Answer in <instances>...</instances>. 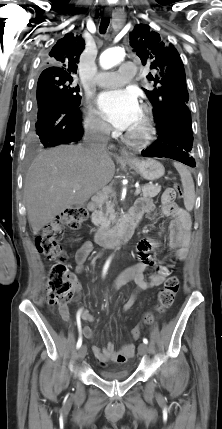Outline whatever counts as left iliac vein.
Instances as JSON below:
<instances>
[{"instance_id": "1", "label": "left iliac vein", "mask_w": 222, "mask_h": 429, "mask_svg": "<svg viewBox=\"0 0 222 429\" xmlns=\"http://www.w3.org/2000/svg\"><path fill=\"white\" fill-rule=\"evenodd\" d=\"M149 351L148 345L145 343H141L138 347V352L140 355H146Z\"/></svg>"}]
</instances>
